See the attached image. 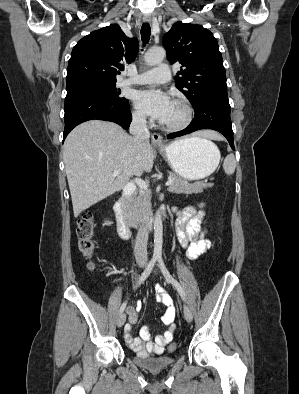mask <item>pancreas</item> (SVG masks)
<instances>
[{
  "mask_svg": "<svg viewBox=\"0 0 299 394\" xmlns=\"http://www.w3.org/2000/svg\"><path fill=\"white\" fill-rule=\"evenodd\" d=\"M169 179L173 180V183L169 186L168 190L175 194H197L203 192L205 188L212 187L211 183L196 182L190 184L174 173H169ZM151 208V195L149 192L141 191L139 195L132 199L128 206V213L134 219H139L142 213Z\"/></svg>",
  "mask_w": 299,
  "mask_h": 394,
  "instance_id": "1",
  "label": "pancreas"
}]
</instances>
